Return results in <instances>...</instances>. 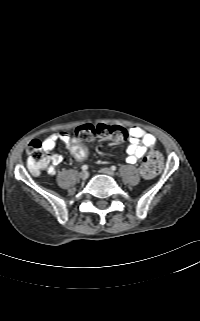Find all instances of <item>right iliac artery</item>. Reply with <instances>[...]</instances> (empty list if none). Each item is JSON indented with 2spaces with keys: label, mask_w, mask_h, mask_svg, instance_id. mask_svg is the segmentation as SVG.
Returning a JSON list of instances; mask_svg holds the SVG:
<instances>
[{
  "label": "right iliac artery",
  "mask_w": 200,
  "mask_h": 321,
  "mask_svg": "<svg viewBox=\"0 0 200 321\" xmlns=\"http://www.w3.org/2000/svg\"><path fill=\"white\" fill-rule=\"evenodd\" d=\"M81 169L85 171V170L88 169V166H87V165H83V166L81 167Z\"/></svg>",
  "instance_id": "1"
}]
</instances>
